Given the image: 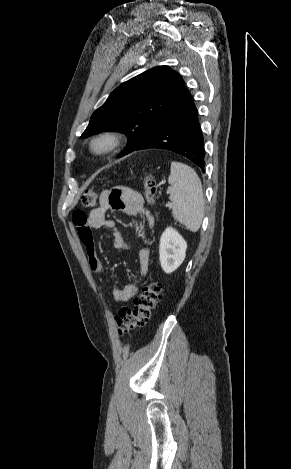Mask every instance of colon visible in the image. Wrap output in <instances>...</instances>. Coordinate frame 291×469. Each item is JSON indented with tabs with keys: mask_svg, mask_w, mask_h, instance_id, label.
Listing matches in <instances>:
<instances>
[{
	"mask_svg": "<svg viewBox=\"0 0 291 469\" xmlns=\"http://www.w3.org/2000/svg\"><path fill=\"white\" fill-rule=\"evenodd\" d=\"M143 192L148 204L154 203L156 194V185L150 176L143 179ZM99 200L98 192L94 189H86L82 195V205L84 207H93ZM82 234L85 231L82 230ZM162 287L158 282L145 284L140 294L136 297L134 308H122L115 317L117 331L123 336L130 331L144 326L152 316V313L161 298Z\"/></svg>",
	"mask_w": 291,
	"mask_h": 469,
	"instance_id": "1",
	"label": "colon"
}]
</instances>
